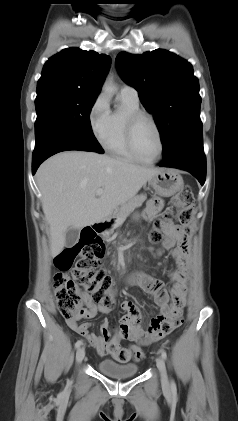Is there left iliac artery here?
<instances>
[{"mask_svg":"<svg viewBox=\"0 0 238 421\" xmlns=\"http://www.w3.org/2000/svg\"><path fill=\"white\" fill-rule=\"evenodd\" d=\"M161 356H162L163 359L166 360L167 359V353H166V351L162 350ZM171 389L173 391L176 389V385H175V382L173 380L171 381Z\"/></svg>","mask_w":238,"mask_h":421,"instance_id":"left-iliac-artery-1","label":"left iliac artery"}]
</instances>
